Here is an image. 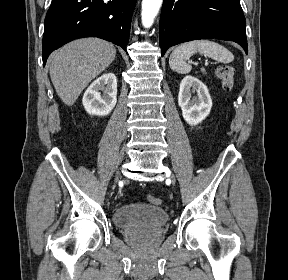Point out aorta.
<instances>
[{
    "label": "aorta",
    "instance_id": "1",
    "mask_svg": "<svg viewBox=\"0 0 288 280\" xmlns=\"http://www.w3.org/2000/svg\"><path fill=\"white\" fill-rule=\"evenodd\" d=\"M163 0H142V24L145 28L152 26Z\"/></svg>",
    "mask_w": 288,
    "mask_h": 280
}]
</instances>
